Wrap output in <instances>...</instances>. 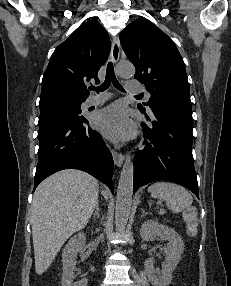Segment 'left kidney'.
I'll return each mask as SVG.
<instances>
[{
	"mask_svg": "<svg viewBox=\"0 0 231 286\" xmlns=\"http://www.w3.org/2000/svg\"><path fill=\"white\" fill-rule=\"evenodd\" d=\"M141 238L145 241L153 237L166 238L168 240L164 252L167 256L162 269L153 266V260L147 259L144 263L145 272L153 286H168L172 281V273L181 259L184 250V242L181 236L172 228L159 224L154 220L145 221L140 229Z\"/></svg>",
	"mask_w": 231,
	"mask_h": 286,
	"instance_id": "obj_1",
	"label": "left kidney"
}]
</instances>
